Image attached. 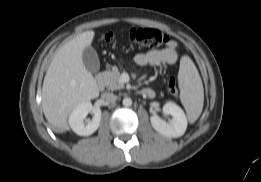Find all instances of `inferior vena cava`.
Returning <instances> with one entry per match:
<instances>
[{
	"label": "inferior vena cava",
	"mask_w": 261,
	"mask_h": 182,
	"mask_svg": "<svg viewBox=\"0 0 261 182\" xmlns=\"http://www.w3.org/2000/svg\"><path fill=\"white\" fill-rule=\"evenodd\" d=\"M103 99H105L107 102L114 103L117 100V96L113 93H104L102 95Z\"/></svg>",
	"instance_id": "obj_1"
}]
</instances>
